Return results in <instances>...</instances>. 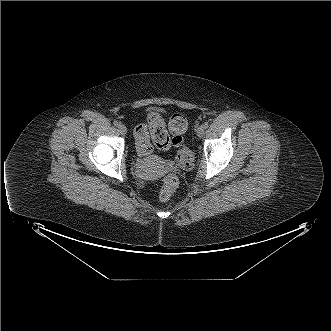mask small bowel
I'll list each match as a JSON object with an SVG mask.
<instances>
[{
    "instance_id": "obj_1",
    "label": "small bowel",
    "mask_w": 331,
    "mask_h": 331,
    "mask_svg": "<svg viewBox=\"0 0 331 331\" xmlns=\"http://www.w3.org/2000/svg\"><path fill=\"white\" fill-rule=\"evenodd\" d=\"M150 131H151V130H150ZM146 134H147V137L149 138V135H148L147 129H146ZM135 138H136V141H137V149H138L139 154H141V155H143V156L149 155V154L152 152L151 145L149 144L148 147H147L146 149H142V148L140 147L141 140H140V137L137 135L136 131H135Z\"/></svg>"
}]
</instances>
